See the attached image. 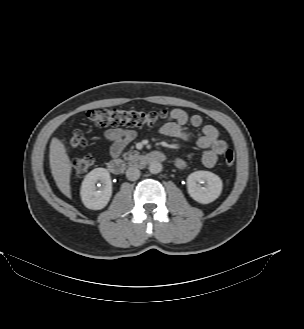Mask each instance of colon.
Instances as JSON below:
<instances>
[{
	"label": "colon",
	"instance_id": "obj_1",
	"mask_svg": "<svg viewBox=\"0 0 304 329\" xmlns=\"http://www.w3.org/2000/svg\"><path fill=\"white\" fill-rule=\"evenodd\" d=\"M88 119L96 126H108L125 124L129 126L154 127L164 123L168 119L166 111H137L129 109L102 108L91 110L87 114ZM87 139L82 131L73 133L68 142L69 150L85 146ZM227 165H233L235 154L232 150H227L224 154ZM93 166V158L90 155L83 156L74 161L73 174L75 177H83Z\"/></svg>",
	"mask_w": 304,
	"mask_h": 329
}]
</instances>
